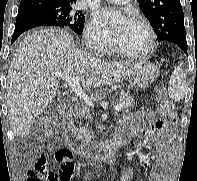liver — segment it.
<instances>
[{
  "label": "liver",
  "instance_id": "obj_1",
  "mask_svg": "<svg viewBox=\"0 0 197 181\" xmlns=\"http://www.w3.org/2000/svg\"><path fill=\"white\" fill-rule=\"evenodd\" d=\"M138 63L109 62L77 48L63 30L42 28L24 37L16 49L7 75L10 126L24 138L58 92L55 71L78 76L85 90L119 83L132 75Z\"/></svg>",
  "mask_w": 197,
  "mask_h": 181
}]
</instances>
